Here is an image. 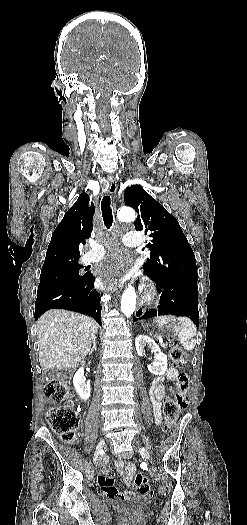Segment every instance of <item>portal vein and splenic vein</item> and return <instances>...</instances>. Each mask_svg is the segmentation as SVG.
Wrapping results in <instances>:
<instances>
[{"instance_id": "portal-vein-and-splenic-vein-1", "label": "portal vein and splenic vein", "mask_w": 247, "mask_h": 525, "mask_svg": "<svg viewBox=\"0 0 247 525\" xmlns=\"http://www.w3.org/2000/svg\"><path fill=\"white\" fill-rule=\"evenodd\" d=\"M159 343H164L163 338H160ZM61 346H70V343H61ZM78 349H81V345H78Z\"/></svg>"}]
</instances>
